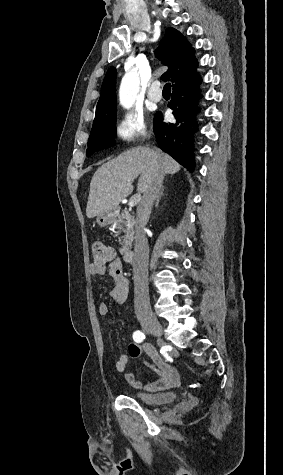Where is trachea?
<instances>
[{"instance_id":"3493384b","label":"trachea","mask_w":283,"mask_h":475,"mask_svg":"<svg viewBox=\"0 0 283 475\" xmlns=\"http://www.w3.org/2000/svg\"><path fill=\"white\" fill-rule=\"evenodd\" d=\"M163 92H171L170 83H166L163 87Z\"/></svg>"}]
</instances>
